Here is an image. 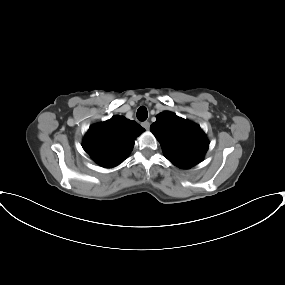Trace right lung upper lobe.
Segmentation results:
<instances>
[{
	"label": "right lung upper lobe",
	"mask_w": 285,
	"mask_h": 285,
	"mask_svg": "<svg viewBox=\"0 0 285 285\" xmlns=\"http://www.w3.org/2000/svg\"><path fill=\"white\" fill-rule=\"evenodd\" d=\"M143 131L137 122L122 116L92 125L83 140V149L99 165L112 168L131 152L134 140Z\"/></svg>",
	"instance_id": "obj_1"
}]
</instances>
